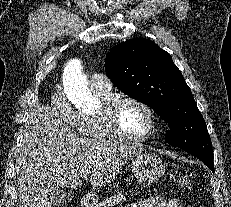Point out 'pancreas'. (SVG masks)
<instances>
[{
    "label": "pancreas",
    "mask_w": 231,
    "mask_h": 207,
    "mask_svg": "<svg viewBox=\"0 0 231 207\" xmlns=\"http://www.w3.org/2000/svg\"><path fill=\"white\" fill-rule=\"evenodd\" d=\"M126 201V197L120 193L117 192L116 195L110 198H106L105 200L95 204L94 207H115L116 205L122 204Z\"/></svg>",
    "instance_id": "obj_1"
}]
</instances>
